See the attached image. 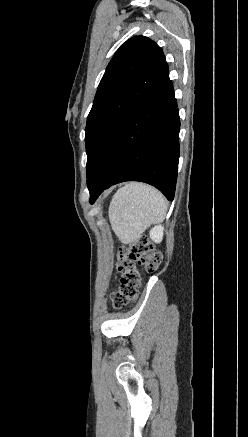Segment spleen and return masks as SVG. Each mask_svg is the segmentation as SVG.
I'll use <instances>...</instances> for the list:
<instances>
[{
  "instance_id": "obj_1",
  "label": "spleen",
  "mask_w": 248,
  "mask_h": 437,
  "mask_svg": "<svg viewBox=\"0 0 248 437\" xmlns=\"http://www.w3.org/2000/svg\"><path fill=\"white\" fill-rule=\"evenodd\" d=\"M167 211L165 197L157 189L139 182L127 183L114 195L109 218L122 243H131L154 223L161 222Z\"/></svg>"
}]
</instances>
